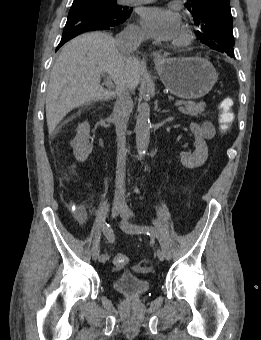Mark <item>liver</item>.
I'll use <instances>...</instances> for the list:
<instances>
[{
	"mask_svg": "<svg viewBox=\"0 0 261 340\" xmlns=\"http://www.w3.org/2000/svg\"><path fill=\"white\" fill-rule=\"evenodd\" d=\"M101 73L108 74L116 88L125 84L133 90L140 81L141 65L137 57L122 53L115 39L102 32L79 35L64 46L47 87L49 133L73 109L115 96V91L100 84Z\"/></svg>",
	"mask_w": 261,
	"mask_h": 340,
	"instance_id": "liver-1",
	"label": "liver"
}]
</instances>
